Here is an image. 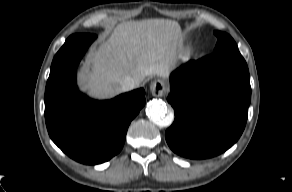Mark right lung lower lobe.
<instances>
[{
	"label": "right lung lower lobe",
	"mask_w": 292,
	"mask_h": 192,
	"mask_svg": "<svg viewBox=\"0 0 292 192\" xmlns=\"http://www.w3.org/2000/svg\"><path fill=\"white\" fill-rule=\"evenodd\" d=\"M94 34L71 35L55 55L45 90V120L53 142L83 164H100L119 153L130 122L145 104L137 89L107 101L81 94L76 69Z\"/></svg>",
	"instance_id": "right-lung-lower-lobe-1"
}]
</instances>
